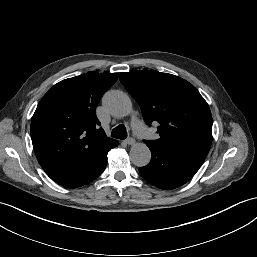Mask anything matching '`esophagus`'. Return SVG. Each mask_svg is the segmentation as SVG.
Segmentation results:
<instances>
[{"mask_svg": "<svg viewBox=\"0 0 257 257\" xmlns=\"http://www.w3.org/2000/svg\"><path fill=\"white\" fill-rule=\"evenodd\" d=\"M126 144L128 145H134L135 144V139L133 138H128L125 140Z\"/></svg>", "mask_w": 257, "mask_h": 257, "instance_id": "esophagus-1", "label": "esophagus"}]
</instances>
